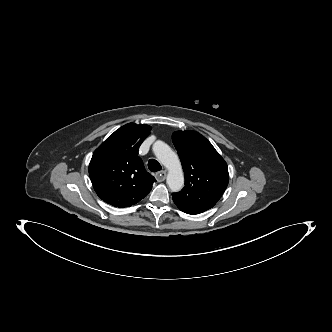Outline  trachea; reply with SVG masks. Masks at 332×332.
<instances>
[{
	"instance_id": "1",
	"label": "trachea",
	"mask_w": 332,
	"mask_h": 332,
	"mask_svg": "<svg viewBox=\"0 0 332 332\" xmlns=\"http://www.w3.org/2000/svg\"><path fill=\"white\" fill-rule=\"evenodd\" d=\"M148 168L152 172H158L162 169L160 163L155 159H150L148 161Z\"/></svg>"
}]
</instances>
